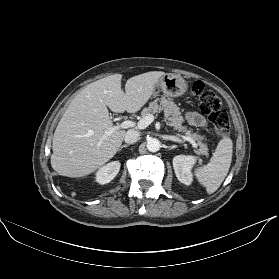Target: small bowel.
Instances as JSON below:
<instances>
[{"mask_svg": "<svg viewBox=\"0 0 279 279\" xmlns=\"http://www.w3.org/2000/svg\"><path fill=\"white\" fill-rule=\"evenodd\" d=\"M187 119L194 126L206 127V125H207V122L204 119V117L201 116L197 112H189V113H187Z\"/></svg>", "mask_w": 279, "mask_h": 279, "instance_id": "c3829d8e", "label": "small bowel"}]
</instances>
